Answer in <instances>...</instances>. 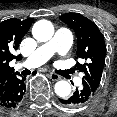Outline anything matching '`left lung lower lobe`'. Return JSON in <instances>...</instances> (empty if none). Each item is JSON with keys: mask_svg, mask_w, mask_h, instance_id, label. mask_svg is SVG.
<instances>
[{"mask_svg": "<svg viewBox=\"0 0 117 117\" xmlns=\"http://www.w3.org/2000/svg\"><path fill=\"white\" fill-rule=\"evenodd\" d=\"M94 94L88 86L83 85L79 90H76L72 96L59 99L62 104L68 107H80L88 104Z\"/></svg>", "mask_w": 117, "mask_h": 117, "instance_id": "left-lung-lower-lobe-1", "label": "left lung lower lobe"}]
</instances>
